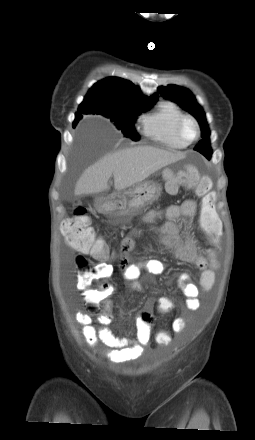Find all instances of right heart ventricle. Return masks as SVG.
I'll return each instance as SVG.
<instances>
[{"instance_id": "right-heart-ventricle-1", "label": "right heart ventricle", "mask_w": 255, "mask_h": 440, "mask_svg": "<svg viewBox=\"0 0 255 440\" xmlns=\"http://www.w3.org/2000/svg\"><path fill=\"white\" fill-rule=\"evenodd\" d=\"M184 115L174 102L166 101L143 117V133L154 142L170 149H184L187 144L176 135V124Z\"/></svg>"}]
</instances>
